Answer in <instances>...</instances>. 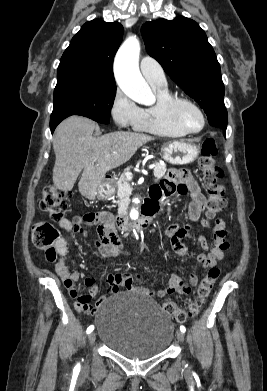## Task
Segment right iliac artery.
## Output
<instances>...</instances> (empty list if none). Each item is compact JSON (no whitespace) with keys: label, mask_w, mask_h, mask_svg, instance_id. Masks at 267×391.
I'll use <instances>...</instances> for the list:
<instances>
[{"label":"right iliac artery","mask_w":267,"mask_h":391,"mask_svg":"<svg viewBox=\"0 0 267 391\" xmlns=\"http://www.w3.org/2000/svg\"><path fill=\"white\" fill-rule=\"evenodd\" d=\"M93 330H94V326L91 325V326H89V327L87 328V333L89 334V333H91ZM76 369L79 371L80 366L77 365V366H76Z\"/></svg>","instance_id":"82829eb1"}]
</instances>
